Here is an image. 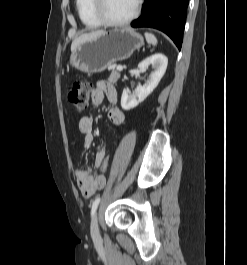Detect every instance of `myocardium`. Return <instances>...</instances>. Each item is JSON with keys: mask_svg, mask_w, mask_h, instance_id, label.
Masks as SVG:
<instances>
[{"mask_svg": "<svg viewBox=\"0 0 247 265\" xmlns=\"http://www.w3.org/2000/svg\"><path fill=\"white\" fill-rule=\"evenodd\" d=\"M105 2L106 0H93L92 9L96 18L102 25L107 27H123L131 24L139 16L143 0H137L131 15L123 20H113L109 18L105 12Z\"/></svg>", "mask_w": 247, "mask_h": 265, "instance_id": "f54148a6", "label": "myocardium"}]
</instances>
